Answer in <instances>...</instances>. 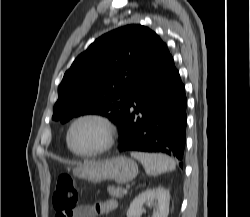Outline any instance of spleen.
<instances>
[{
    "label": "spleen",
    "instance_id": "1",
    "mask_svg": "<svg viewBox=\"0 0 250 217\" xmlns=\"http://www.w3.org/2000/svg\"><path fill=\"white\" fill-rule=\"evenodd\" d=\"M131 156L141 162L149 175L156 176L176 168L175 160L165 154L131 152Z\"/></svg>",
    "mask_w": 250,
    "mask_h": 217
}]
</instances>
